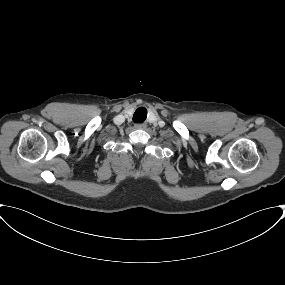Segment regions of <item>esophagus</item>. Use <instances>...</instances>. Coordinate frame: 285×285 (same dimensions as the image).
Returning <instances> with one entry per match:
<instances>
[{
	"instance_id": "esophagus-1",
	"label": "esophagus",
	"mask_w": 285,
	"mask_h": 285,
	"mask_svg": "<svg viewBox=\"0 0 285 285\" xmlns=\"http://www.w3.org/2000/svg\"><path fill=\"white\" fill-rule=\"evenodd\" d=\"M136 129H144L146 128V124L144 123H138V124H135L134 126Z\"/></svg>"
}]
</instances>
